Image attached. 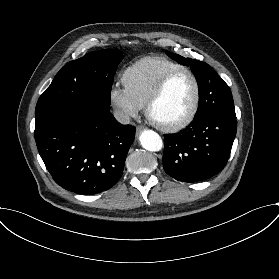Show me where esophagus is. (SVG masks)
<instances>
[{
  "label": "esophagus",
  "instance_id": "1",
  "mask_svg": "<svg viewBox=\"0 0 279 279\" xmlns=\"http://www.w3.org/2000/svg\"><path fill=\"white\" fill-rule=\"evenodd\" d=\"M144 129H145L144 126L138 125V126L136 127V135H137V136L140 135V134L144 131Z\"/></svg>",
  "mask_w": 279,
  "mask_h": 279
}]
</instances>
